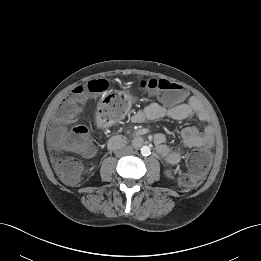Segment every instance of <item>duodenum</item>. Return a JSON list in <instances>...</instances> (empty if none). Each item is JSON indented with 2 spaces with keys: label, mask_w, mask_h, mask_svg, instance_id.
<instances>
[{
  "label": "duodenum",
  "mask_w": 261,
  "mask_h": 261,
  "mask_svg": "<svg viewBox=\"0 0 261 261\" xmlns=\"http://www.w3.org/2000/svg\"><path fill=\"white\" fill-rule=\"evenodd\" d=\"M126 144H127V139L122 135L113 136L108 143L111 149H118L125 146ZM133 144L136 146H141L145 144V139L142 137H134Z\"/></svg>",
  "instance_id": "duodenum-1"
}]
</instances>
